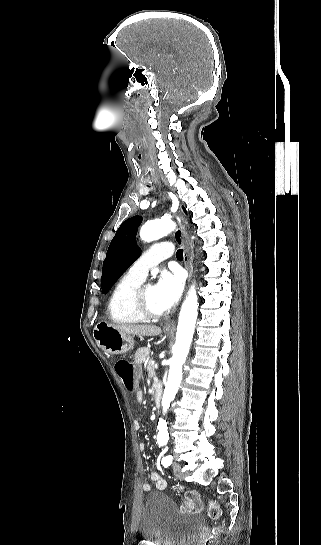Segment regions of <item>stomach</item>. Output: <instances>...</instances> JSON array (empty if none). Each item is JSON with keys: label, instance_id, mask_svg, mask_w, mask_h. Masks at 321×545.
Returning a JSON list of instances; mask_svg holds the SVG:
<instances>
[{"label": "stomach", "instance_id": "obj_1", "mask_svg": "<svg viewBox=\"0 0 321 545\" xmlns=\"http://www.w3.org/2000/svg\"><path fill=\"white\" fill-rule=\"evenodd\" d=\"M165 333H170L164 329ZM93 337L100 349L109 355H124L128 351H132L134 347V337L132 335H122L117 329L110 327L109 323L101 321L97 323Z\"/></svg>", "mask_w": 321, "mask_h": 545}]
</instances>
